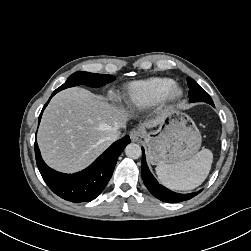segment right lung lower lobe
<instances>
[{"label": "right lung lower lobe", "instance_id": "right-lung-lower-lobe-1", "mask_svg": "<svg viewBox=\"0 0 251 251\" xmlns=\"http://www.w3.org/2000/svg\"><path fill=\"white\" fill-rule=\"evenodd\" d=\"M57 92L59 91L53 92L43 107L38 123L41 120L43 110ZM130 142L129 136H125L113 143L88 168L78 173L64 174L45 164L35 141L36 163L42 178L56 195L73 203L90 202L103 191L113 174L118 156Z\"/></svg>", "mask_w": 251, "mask_h": 251}]
</instances>
